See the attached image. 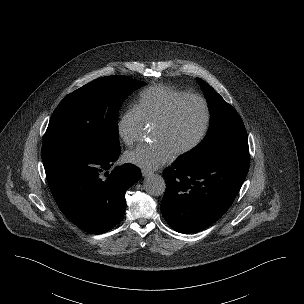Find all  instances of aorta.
<instances>
[{
  "label": "aorta",
  "mask_w": 304,
  "mask_h": 304,
  "mask_svg": "<svg viewBox=\"0 0 304 304\" xmlns=\"http://www.w3.org/2000/svg\"><path fill=\"white\" fill-rule=\"evenodd\" d=\"M143 185L146 192L153 196L162 195L166 188L164 178L158 174H152L146 177Z\"/></svg>",
  "instance_id": "1"
}]
</instances>
